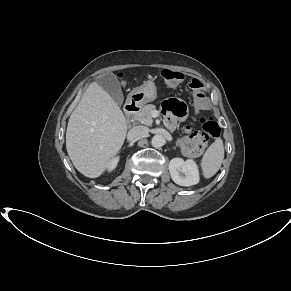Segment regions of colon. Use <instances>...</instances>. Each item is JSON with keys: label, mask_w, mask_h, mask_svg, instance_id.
<instances>
[{"label": "colon", "mask_w": 291, "mask_h": 291, "mask_svg": "<svg viewBox=\"0 0 291 291\" xmlns=\"http://www.w3.org/2000/svg\"><path fill=\"white\" fill-rule=\"evenodd\" d=\"M161 76L169 85H177L184 78L183 73L169 69L163 70ZM190 87L202 129L197 131L186 130L185 134L180 138V146L185 154L194 156L200 154L208 146L211 139L219 134V127L211 117L204 114V111L208 108L209 100L203 84L194 79Z\"/></svg>", "instance_id": "obj_1"}]
</instances>
